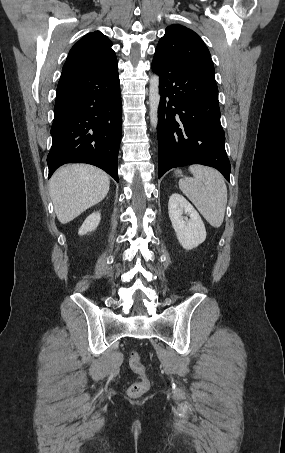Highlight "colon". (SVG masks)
I'll list each match as a JSON object with an SVG mask.
<instances>
[{
	"label": "colon",
	"instance_id": "colon-1",
	"mask_svg": "<svg viewBox=\"0 0 285 453\" xmlns=\"http://www.w3.org/2000/svg\"><path fill=\"white\" fill-rule=\"evenodd\" d=\"M129 366L131 370L140 376L138 382L133 383L129 389L128 394L131 397H140L147 392L150 382L146 376V368L142 363L141 357L138 352H132L129 357Z\"/></svg>",
	"mask_w": 285,
	"mask_h": 453
}]
</instances>
